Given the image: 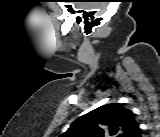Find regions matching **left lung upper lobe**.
Returning a JSON list of instances; mask_svg holds the SVG:
<instances>
[{
    "instance_id": "5c2ea615",
    "label": "left lung upper lobe",
    "mask_w": 160,
    "mask_h": 137,
    "mask_svg": "<svg viewBox=\"0 0 160 137\" xmlns=\"http://www.w3.org/2000/svg\"><path fill=\"white\" fill-rule=\"evenodd\" d=\"M139 126L131 110L106 104L74 121L63 137H134Z\"/></svg>"
}]
</instances>
